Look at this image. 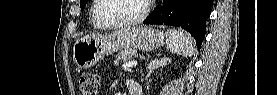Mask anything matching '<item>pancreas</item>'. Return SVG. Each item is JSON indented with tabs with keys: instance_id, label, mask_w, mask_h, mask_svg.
Wrapping results in <instances>:
<instances>
[{
	"instance_id": "obj_1",
	"label": "pancreas",
	"mask_w": 277,
	"mask_h": 95,
	"mask_svg": "<svg viewBox=\"0 0 277 95\" xmlns=\"http://www.w3.org/2000/svg\"><path fill=\"white\" fill-rule=\"evenodd\" d=\"M134 54V51L132 50H122L118 52L115 56L114 64L118 65L119 63H124L129 61Z\"/></svg>"
}]
</instances>
